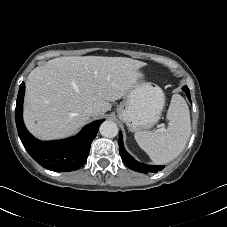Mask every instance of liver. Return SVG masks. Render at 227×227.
Here are the masks:
<instances>
[{
  "mask_svg": "<svg viewBox=\"0 0 227 227\" xmlns=\"http://www.w3.org/2000/svg\"><path fill=\"white\" fill-rule=\"evenodd\" d=\"M146 63L126 57H58L28 75L24 122L37 138L51 140L76 133L90 116H101L110 102L121 99L133 86Z\"/></svg>",
  "mask_w": 227,
  "mask_h": 227,
  "instance_id": "1",
  "label": "liver"
}]
</instances>
